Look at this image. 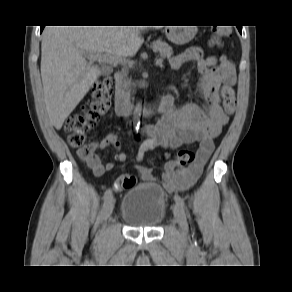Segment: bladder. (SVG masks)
I'll return each instance as SVG.
<instances>
[{"label":"bladder","instance_id":"bladder-1","mask_svg":"<svg viewBox=\"0 0 292 292\" xmlns=\"http://www.w3.org/2000/svg\"><path fill=\"white\" fill-rule=\"evenodd\" d=\"M167 198L162 188L142 183L127 190L120 216L132 228H154L165 217Z\"/></svg>","mask_w":292,"mask_h":292}]
</instances>
